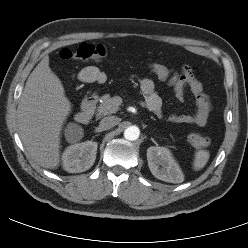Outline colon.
<instances>
[{
    "instance_id": "obj_1",
    "label": "colon",
    "mask_w": 248,
    "mask_h": 248,
    "mask_svg": "<svg viewBox=\"0 0 248 248\" xmlns=\"http://www.w3.org/2000/svg\"><path fill=\"white\" fill-rule=\"evenodd\" d=\"M107 56L108 50L105 46L87 43L81 44L75 50L63 49L60 53V57L64 60L79 62H99ZM145 68L163 82H168L174 74V71L171 68L162 63H147ZM188 140L197 148H205L210 144V140L199 133H190L188 135Z\"/></svg>"
}]
</instances>
